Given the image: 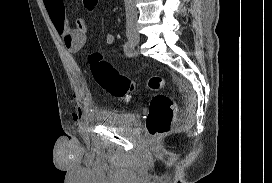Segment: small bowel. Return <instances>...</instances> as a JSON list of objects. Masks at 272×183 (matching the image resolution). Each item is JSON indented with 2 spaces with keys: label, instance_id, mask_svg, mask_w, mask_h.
<instances>
[{
  "label": "small bowel",
  "instance_id": "obj_1",
  "mask_svg": "<svg viewBox=\"0 0 272 183\" xmlns=\"http://www.w3.org/2000/svg\"><path fill=\"white\" fill-rule=\"evenodd\" d=\"M49 17L57 30L61 35L64 45L71 53L79 52L86 42V35L88 31V25L84 19H77L75 27L70 25V22L65 13L64 0H43ZM115 41V36L108 33L104 37L106 45H111ZM73 120L75 122L82 121V115L80 112L73 113Z\"/></svg>",
  "mask_w": 272,
  "mask_h": 183
}]
</instances>
